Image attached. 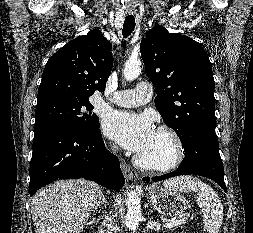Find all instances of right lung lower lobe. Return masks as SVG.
Returning a JSON list of instances; mask_svg holds the SVG:
<instances>
[{"mask_svg": "<svg viewBox=\"0 0 253 233\" xmlns=\"http://www.w3.org/2000/svg\"><path fill=\"white\" fill-rule=\"evenodd\" d=\"M84 178L110 189L125 184L118 158L105 149L99 126L80 132L66 126L35 129L29 194L57 179Z\"/></svg>", "mask_w": 253, "mask_h": 233, "instance_id": "98d812e1", "label": "right lung lower lobe"}]
</instances>
